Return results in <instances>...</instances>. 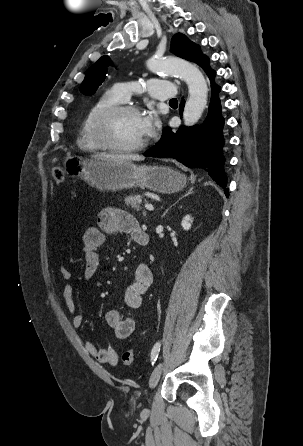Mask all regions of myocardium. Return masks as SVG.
Listing matches in <instances>:
<instances>
[{
  "mask_svg": "<svg viewBox=\"0 0 303 446\" xmlns=\"http://www.w3.org/2000/svg\"><path fill=\"white\" fill-rule=\"evenodd\" d=\"M124 113H136L140 114L138 107L130 104H114L102 109L95 117L92 133L97 141V143L106 150L116 152V153H132L142 150L146 147L148 141L144 139L143 141L130 145V146H119L113 143L109 137V129L111 121L118 115Z\"/></svg>",
  "mask_w": 303,
  "mask_h": 446,
  "instance_id": "f54148a6",
  "label": "myocardium"
}]
</instances>
